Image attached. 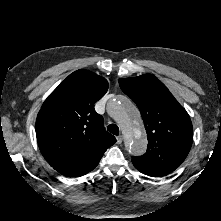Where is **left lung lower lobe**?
I'll use <instances>...</instances> for the list:
<instances>
[{
	"label": "left lung lower lobe",
	"mask_w": 221,
	"mask_h": 221,
	"mask_svg": "<svg viewBox=\"0 0 221 221\" xmlns=\"http://www.w3.org/2000/svg\"><path fill=\"white\" fill-rule=\"evenodd\" d=\"M151 176V175H149ZM160 176H164V175H153V177H160Z\"/></svg>",
	"instance_id": "left-lung-lower-lobe-1"
}]
</instances>
